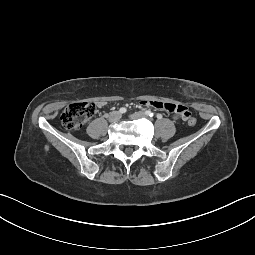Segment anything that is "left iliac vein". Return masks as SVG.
I'll return each instance as SVG.
<instances>
[{
    "mask_svg": "<svg viewBox=\"0 0 255 255\" xmlns=\"http://www.w3.org/2000/svg\"><path fill=\"white\" fill-rule=\"evenodd\" d=\"M146 114L144 112H135L133 114L130 115V118L131 119H138V118H142V117H145Z\"/></svg>",
    "mask_w": 255,
    "mask_h": 255,
    "instance_id": "4c4485c4",
    "label": "left iliac vein"
}]
</instances>
